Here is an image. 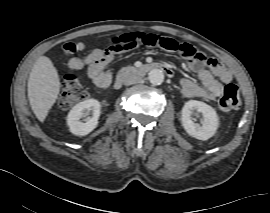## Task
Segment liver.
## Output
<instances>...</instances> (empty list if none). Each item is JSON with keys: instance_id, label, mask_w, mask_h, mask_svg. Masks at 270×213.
Returning <instances> with one entry per match:
<instances>
[{"instance_id": "6515ba94", "label": "liver", "mask_w": 270, "mask_h": 213, "mask_svg": "<svg viewBox=\"0 0 270 213\" xmlns=\"http://www.w3.org/2000/svg\"><path fill=\"white\" fill-rule=\"evenodd\" d=\"M60 79L52 61L39 57L32 67L28 79V99L32 111L43 122L56 102L60 92Z\"/></svg>"}]
</instances>
